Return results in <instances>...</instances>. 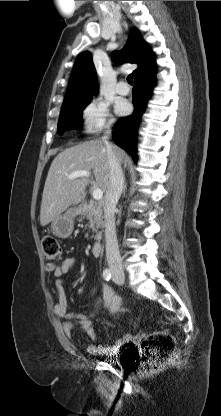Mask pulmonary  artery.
<instances>
[{
  "label": "pulmonary artery",
  "instance_id": "pulmonary-artery-1",
  "mask_svg": "<svg viewBox=\"0 0 221 416\" xmlns=\"http://www.w3.org/2000/svg\"><path fill=\"white\" fill-rule=\"evenodd\" d=\"M129 91V87L123 81H120L116 86V92L120 95H127Z\"/></svg>",
  "mask_w": 221,
  "mask_h": 416
}]
</instances>
